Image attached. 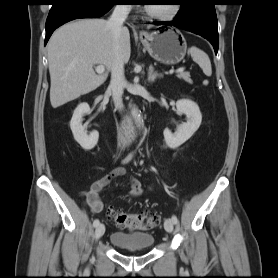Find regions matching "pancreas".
Listing matches in <instances>:
<instances>
[{
    "label": "pancreas",
    "instance_id": "pancreas-1",
    "mask_svg": "<svg viewBox=\"0 0 278 278\" xmlns=\"http://www.w3.org/2000/svg\"><path fill=\"white\" fill-rule=\"evenodd\" d=\"M178 78L183 79V80H185L188 83H192V80L190 78V74L188 72L180 73L178 75Z\"/></svg>",
    "mask_w": 278,
    "mask_h": 278
}]
</instances>
